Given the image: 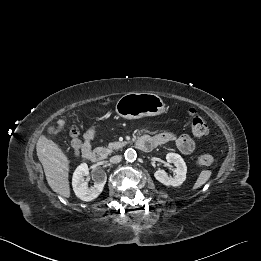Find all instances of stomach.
I'll return each instance as SVG.
<instances>
[{
    "mask_svg": "<svg viewBox=\"0 0 261 261\" xmlns=\"http://www.w3.org/2000/svg\"><path fill=\"white\" fill-rule=\"evenodd\" d=\"M116 113L125 119H139L144 116H157L165 112V103L153 93L130 92L116 103Z\"/></svg>",
    "mask_w": 261,
    "mask_h": 261,
    "instance_id": "obj_1",
    "label": "stomach"
}]
</instances>
